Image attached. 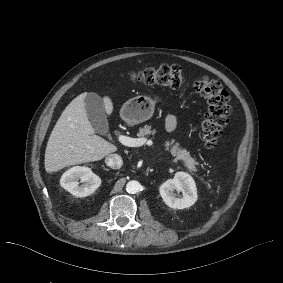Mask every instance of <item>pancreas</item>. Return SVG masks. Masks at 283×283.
<instances>
[{"label":"pancreas","mask_w":283,"mask_h":283,"mask_svg":"<svg viewBox=\"0 0 283 283\" xmlns=\"http://www.w3.org/2000/svg\"><path fill=\"white\" fill-rule=\"evenodd\" d=\"M155 133V129L152 130L150 125H145L139 129L137 136L144 137L150 134L154 135ZM171 145L172 147L170 148ZM179 145L178 142L175 143L174 139L165 143L166 150H170L172 156L176 157L177 160H182L190 171H196L197 162L190 156V153L186 149L180 148Z\"/></svg>","instance_id":"obj_1"}]
</instances>
